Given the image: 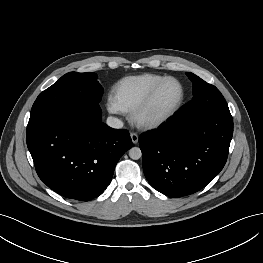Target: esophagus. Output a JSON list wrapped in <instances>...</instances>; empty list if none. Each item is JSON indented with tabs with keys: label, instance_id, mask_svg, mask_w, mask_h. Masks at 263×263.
I'll list each match as a JSON object with an SVG mask.
<instances>
[{
	"label": "esophagus",
	"instance_id": "1",
	"mask_svg": "<svg viewBox=\"0 0 263 263\" xmlns=\"http://www.w3.org/2000/svg\"><path fill=\"white\" fill-rule=\"evenodd\" d=\"M130 136H131L133 144H137L138 143V139H139L138 135L136 133L132 132L130 134Z\"/></svg>",
	"mask_w": 263,
	"mask_h": 263
}]
</instances>
